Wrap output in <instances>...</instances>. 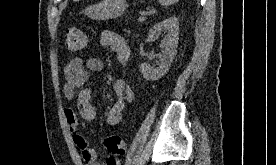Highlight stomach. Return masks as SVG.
Segmentation results:
<instances>
[{"label": "stomach", "instance_id": "1", "mask_svg": "<svg viewBox=\"0 0 276 165\" xmlns=\"http://www.w3.org/2000/svg\"><path fill=\"white\" fill-rule=\"evenodd\" d=\"M126 7V0H102L86 7L84 14L95 20H108L121 16Z\"/></svg>", "mask_w": 276, "mask_h": 165}]
</instances>
